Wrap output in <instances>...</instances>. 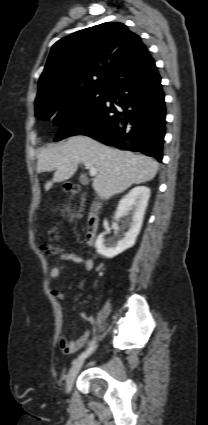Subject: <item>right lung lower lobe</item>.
<instances>
[{
	"instance_id": "1",
	"label": "right lung lower lobe",
	"mask_w": 208,
	"mask_h": 425,
	"mask_svg": "<svg viewBox=\"0 0 208 425\" xmlns=\"http://www.w3.org/2000/svg\"><path fill=\"white\" fill-rule=\"evenodd\" d=\"M108 100L118 107L106 104ZM165 116L161 77L148 53L116 76L98 106L61 123L55 141L86 135L108 146L142 152L161 162Z\"/></svg>"
}]
</instances>
